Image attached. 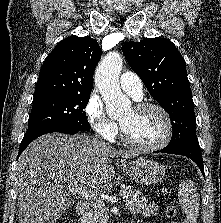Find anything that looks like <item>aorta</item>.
<instances>
[{"instance_id":"762f6f07","label":"aorta","mask_w":221,"mask_h":223,"mask_svg":"<svg viewBox=\"0 0 221 223\" xmlns=\"http://www.w3.org/2000/svg\"><path fill=\"white\" fill-rule=\"evenodd\" d=\"M122 65L120 54L110 52L101 60L95 72V84L110 117H116L131 107L130 100L122 93L119 84Z\"/></svg>"}]
</instances>
